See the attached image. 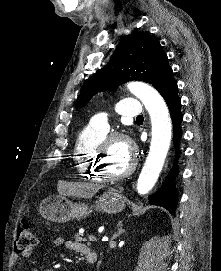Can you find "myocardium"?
Wrapping results in <instances>:
<instances>
[{"label": "myocardium", "mask_w": 221, "mask_h": 271, "mask_svg": "<svg viewBox=\"0 0 221 271\" xmlns=\"http://www.w3.org/2000/svg\"><path fill=\"white\" fill-rule=\"evenodd\" d=\"M125 144L129 150H136L135 141L131 138V133H111V137H107L103 140V145H97V150L99 153L95 156V162L99 164L100 167H96V172L101 176V178H117L126 179L131 172H135L138 169L136 157H131L130 166L126 167V170H122V173H108L107 165H104L102 156L106 155L109 150V145H123Z\"/></svg>", "instance_id": "1"}]
</instances>
